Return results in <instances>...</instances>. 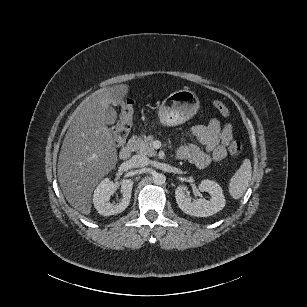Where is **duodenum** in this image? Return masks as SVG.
<instances>
[{
	"label": "duodenum",
	"instance_id": "1",
	"mask_svg": "<svg viewBox=\"0 0 307 307\" xmlns=\"http://www.w3.org/2000/svg\"><path fill=\"white\" fill-rule=\"evenodd\" d=\"M134 143H135V139L132 137L127 141V143L120 150L119 156L122 160H127L130 158L133 152Z\"/></svg>",
	"mask_w": 307,
	"mask_h": 307
}]
</instances>
